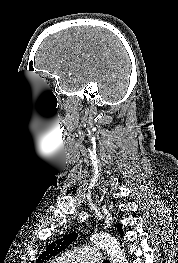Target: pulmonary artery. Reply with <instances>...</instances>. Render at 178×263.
Wrapping results in <instances>:
<instances>
[{
  "label": "pulmonary artery",
  "instance_id": "pulmonary-artery-1",
  "mask_svg": "<svg viewBox=\"0 0 178 263\" xmlns=\"http://www.w3.org/2000/svg\"><path fill=\"white\" fill-rule=\"evenodd\" d=\"M101 257L97 247L85 246L62 254L57 261L59 263H96Z\"/></svg>",
  "mask_w": 178,
  "mask_h": 263
}]
</instances>
